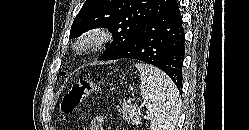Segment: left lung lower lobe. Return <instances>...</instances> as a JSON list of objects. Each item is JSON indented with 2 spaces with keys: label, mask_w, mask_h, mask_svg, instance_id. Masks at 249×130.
Returning <instances> with one entry per match:
<instances>
[{
  "label": "left lung lower lobe",
  "mask_w": 249,
  "mask_h": 130,
  "mask_svg": "<svg viewBox=\"0 0 249 130\" xmlns=\"http://www.w3.org/2000/svg\"><path fill=\"white\" fill-rule=\"evenodd\" d=\"M185 35L177 1L148 21L110 60L137 59L163 70L182 92Z\"/></svg>",
  "instance_id": "1"
}]
</instances>
